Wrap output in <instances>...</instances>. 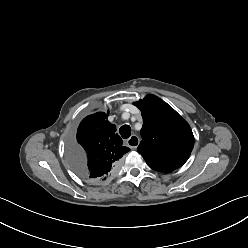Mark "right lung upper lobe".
<instances>
[{"label":"right lung upper lobe","instance_id":"obj_1","mask_svg":"<svg viewBox=\"0 0 248 248\" xmlns=\"http://www.w3.org/2000/svg\"><path fill=\"white\" fill-rule=\"evenodd\" d=\"M108 113L96 112L84 118L77 130V141L85 154L84 178L93 182L109 175L130 149L107 120Z\"/></svg>","mask_w":248,"mask_h":248}]
</instances>
